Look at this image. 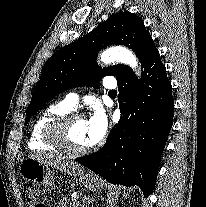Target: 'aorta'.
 I'll return each instance as SVG.
<instances>
[{
    "instance_id": "obj_1",
    "label": "aorta",
    "mask_w": 206,
    "mask_h": 207,
    "mask_svg": "<svg viewBox=\"0 0 206 207\" xmlns=\"http://www.w3.org/2000/svg\"><path fill=\"white\" fill-rule=\"evenodd\" d=\"M100 60L105 64L119 62L129 65L135 70L138 66V60L136 56L130 50L124 47H112L107 49L100 55Z\"/></svg>"
}]
</instances>
